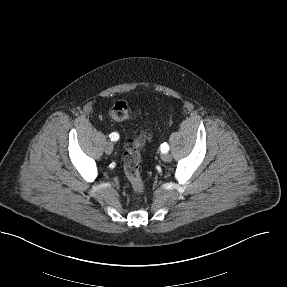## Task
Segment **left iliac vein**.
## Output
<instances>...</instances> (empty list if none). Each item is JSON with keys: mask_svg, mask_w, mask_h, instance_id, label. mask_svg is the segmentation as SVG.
Masks as SVG:
<instances>
[{"mask_svg": "<svg viewBox=\"0 0 287 287\" xmlns=\"http://www.w3.org/2000/svg\"><path fill=\"white\" fill-rule=\"evenodd\" d=\"M162 160L165 162H170L172 160V156L169 153L162 154Z\"/></svg>", "mask_w": 287, "mask_h": 287, "instance_id": "4c4485c4", "label": "left iliac vein"}]
</instances>
